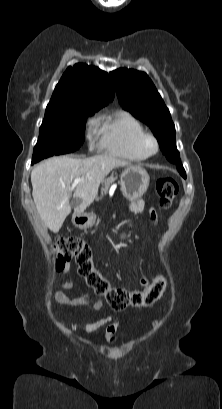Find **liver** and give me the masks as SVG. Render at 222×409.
Segmentation results:
<instances>
[{"mask_svg":"<svg viewBox=\"0 0 222 409\" xmlns=\"http://www.w3.org/2000/svg\"><path fill=\"white\" fill-rule=\"evenodd\" d=\"M130 166L110 155L76 159L53 157L38 164L31 172L32 196L44 224L57 233L71 212V187L74 179L75 212H83L98 194L100 183L116 167Z\"/></svg>","mask_w":222,"mask_h":409,"instance_id":"6515ba94","label":"liver"}]
</instances>
